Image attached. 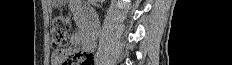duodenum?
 I'll return each instance as SVG.
<instances>
[{"mask_svg": "<svg viewBox=\"0 0 232 65\" xmlns=\"http://www.w3.org/2000/svg\"><path fill=\"white\" fill-rule=\"evenodd\" d=\"M83 23L81 41L85 51L90 52L95 48V41L98 34L97 20L91 12L84 11Z\"/></svg>", "mask_w": 232, "mask_h": 65, "instance_id": "obj_1", "label": "duodenum"}]
</instances>
